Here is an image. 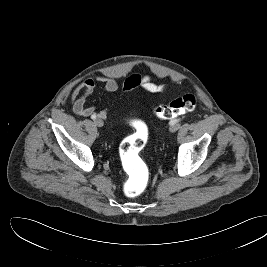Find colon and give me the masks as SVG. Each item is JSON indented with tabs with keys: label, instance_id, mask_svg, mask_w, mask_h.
<instances>
[{
	"label": "colon",
	"instance_id": "colon-1",
	"mask_svg": "<svg viewBox=\"0 0 267 267\" xmlns=\"http://www.w3.org/2000/svg\"><path fill=\"white\" fill-rule=\"evenodd\" d=\"M196 106V96L185 94L168 105L155 107L154 113L161 119H172L186 112L193 111ZM147 135L145 127L138 125L135 133L126 137L120 145V157L128 175L124 190L130 197L140 195L148 184V169L140 157V153L147 142Z\"/></svg>",
	"mask_w": 267,
	"mask_h": 267
}]
</instances>
